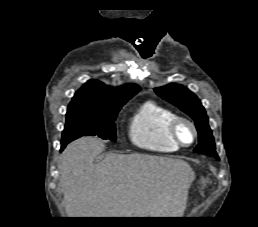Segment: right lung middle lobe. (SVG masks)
Returning a JSON list of instances; mask_svg holds the SVG:
<instances>
[{
  "mask_svg": "<svg viewBox=\"0 0 258 227\" xmlns=\"http://www.w3.org/2000/svg\"><path fill=\"white\" fill-rule=\"evenodd\" d=\"M124 104L104 108L69 104L61 144L88 135L115 142L114 121Z\"/></svg>",
  "mask_w": 258,
  "mask_h": 227,
  "instance_id": "dd1d6c3e",
  "label": "right lung middle lobe"
}]
</instances>
